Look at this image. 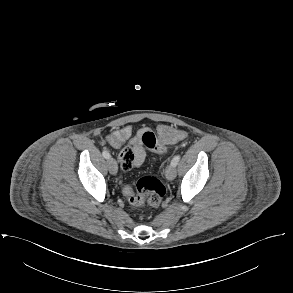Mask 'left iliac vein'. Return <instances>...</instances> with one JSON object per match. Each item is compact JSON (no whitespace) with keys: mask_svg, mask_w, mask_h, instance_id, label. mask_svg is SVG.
I'll return each mask as SVG.
<instances>
[{"mask_svg":"<svg viewBox=\"0 0 293 293\" xmlns=\"http://www.w3.org/2000/svg\"><path fill=\"white\" fill-rule=\"evenodd\" d=\"M165 176L168 180H173L176 177V168L170 164L165 169Z\"/></svg>","mask_w":293,"mask_h":293,"instance_id":"1","label":"left iliac vein"}]
</instances>
